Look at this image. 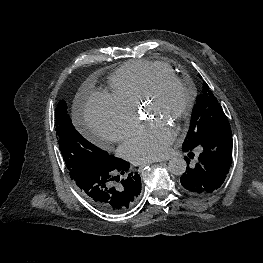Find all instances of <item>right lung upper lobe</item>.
<instances>
[{"mask_svg":"<svg viewBox=\"0 0 263 263\" xmlns=\"http://www.w3.org/2000/svg\"><path fill=\"white\" fill-rule=\"evenodd\" d=\"M125 210H127V209L120 208V209H114L112 212L113 213H118V212H123Z\"/></svg>","mask_w":263,"mask_h":263,"instance_id":"obj_1","label":"right lung upper lobe"}]
</instances>
